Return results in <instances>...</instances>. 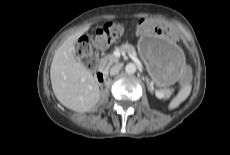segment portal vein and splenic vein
I'll use <instances>...</instances> for the list:
<instances>
[{
    "mask_svg": "<svg viewBox=\"0 0 230 155\" xmlns=\"http://www.w3.org/2000/svg\"><path fill=\"white\" fill-rule=\"evenodd\" d=\"M133 60L138 61L136 57H132ZM161 97H163V94H160Z\"/></svg>",
    "mask_w": 230,
    "mask_h": 155,
    "instance_id": "1",
    "label": "portal vein and splenic vein"
}]
</instances>
